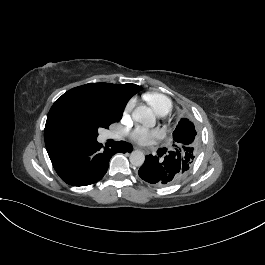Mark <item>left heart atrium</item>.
<instances>
[{"label":"left heart atrium","mask_w":265,"mask_h":265,"mask_svg":"<svg viewBox=\"0 0 265 265\" xmlns=\"http://www.w3.org/2000/svg\"><path fill=\"white\" fill-rule=\"evenodd\" d=\"M158 135V130L145 126H138L130 133L131 138L139 143H148Z\"/></svg>","instance_id":"1"}]
</instances>
